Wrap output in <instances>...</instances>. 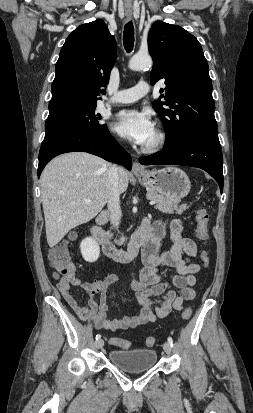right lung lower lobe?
Returning a JSON list of instances; mask_svg holds the SVG:
<instances>
[{
    "label": "right lung lower lobe",
    "instance_id": "right-lung-lower-lobe-1",
    "mask_svg": "<svg viewBox=\"0 0 253 413\" xmlns=\"http://www.w3.org/2000/svg\"><path fill=\"white\" fill-rule=\"evenodd\" d=\"M87 152L131 170V156L115 141L108 129L95 134H69L44 139L39 152L38 177L55 156L66 152Z\"/></svg>",
    "mask_w": 253,
    "mask_h": 413
}]
</instances>
